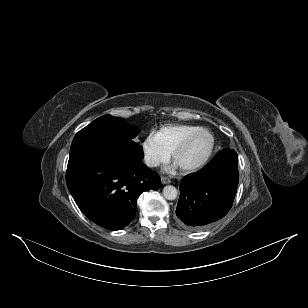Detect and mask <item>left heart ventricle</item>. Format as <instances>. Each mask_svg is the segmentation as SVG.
Instances as JSON below:
<instances>
[{
    "mask_svg": "<svg viewBox=\"0 0 308 308\" xmlns=\"http://www.w3.org/2000/svg\"><path fill=\"white\" fill-rule=\"evenodd\" d=\"M211 145V137L202 133L196 136L187 149L177 158L178 166L192 165L204 158Z\"/></svg>",
    "mask_w": 308,
    "mask_h": 308,
    "instance_id": "b2bd125f",
    "label": "left heart ventricle"
}]
</instances>
